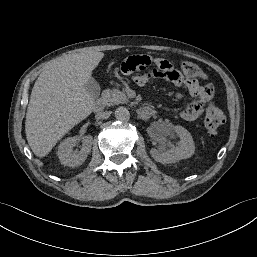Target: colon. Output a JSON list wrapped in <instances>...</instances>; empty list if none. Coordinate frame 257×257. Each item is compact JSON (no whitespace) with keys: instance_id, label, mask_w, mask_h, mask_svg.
<instances>
[{"instance_id":"1","label":"colon","mask_w":257,"mask_h":257,"mask_svg":"<svg viewBox=\"0 0 257 257\" xmlns=\"http://www.w3.org/2000/svg\"><path fill=\"white\" fill-rule=\"evenodd\" d=\"M181 70L188 77L197 79H205L206 73L196 64L192 62H182ZM223 113L212 103L205 108L204 125L210 136H216L222 125L224 124Z\"/></svg>"}]
</instances>
